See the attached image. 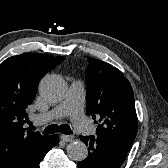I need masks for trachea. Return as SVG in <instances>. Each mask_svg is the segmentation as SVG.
Masks as SVG:
<instances>
[{"instance_id": "1", "label": "trachea", "mask_w": 168, "mask_h": 168, "mask_svg": "<svg viewBox=\"0 0 168 168\" xmlns=\"http://www.w3.org/2000/svg\"><path fill=\"white\" fill-rule=\"evenodd\" d=\"M57 131H59L62 134H66V135H70L73 133L70 126L67 124H63L60 126H58L56 124H52V125L46 127L45 130L43 131V133L44 134H53V133H56Z\"/></svg>"}]
</instances>
